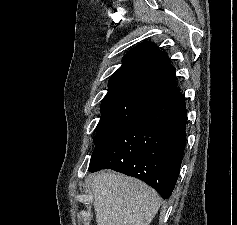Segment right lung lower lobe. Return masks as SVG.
I'll return each mask as SVG.
<instances>
[{"label": "right lung lower lobe", "mask_w": 237, "mask_h": 225, "mask_svg": "<svg viewBox=\"0 0 237 225\" xmlns=\"http://www.w3.org/2000/svg\"><path fill=\"white\" fill-rule=\"evenodd\" d=\"M184 95L138 114L111 132L91 156L89 171L112 169L136 177L162 198L176 185L186 145Z\"/></svg>", "instance_id": "1"}]
</instances>
